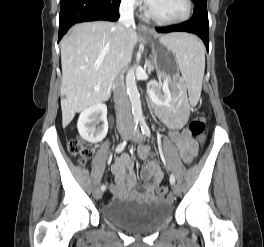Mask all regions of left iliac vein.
I'll return each instance as SVG.
<instances>
[{
  "instance_id": "left-iliac-vein-1",
  "label": "left iliac vein",
  "mask_w": 264,
  "mask_h": 247,
  "mask_svg": "<svg viewBox=\"0 0 264 247\" xmlns=\"http://www.w3.org/2000/svg\"><path fill=\"white\" fill-rule=\"evenodd\" d=\"M131 139L135 142H141L142 141V134L140 133L139 130L136 131V133L133 134ZM173 192L175 195L179 196L181 194V188L179 185L175 184L173 186Z\"/></svg>"
}]
</instances>
